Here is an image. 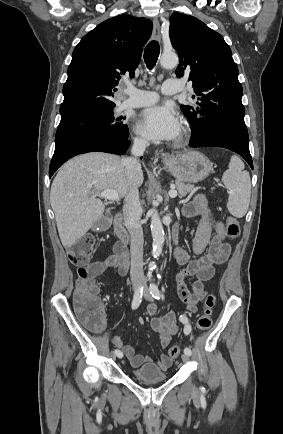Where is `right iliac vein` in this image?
<instances>
[{
  "label": "right iliac vein",
  "instance_id": "obj_1",
  "mask_svg": "<svg viewBox=\"0 0 283 434\" xmlns=\"http://www.w3.org/2000/svg\"><path fill=\"white\" fill-rule=\"evenodd\" d=\"M138 287H139V282H137V281L133 282V289H134V290H137ZM111 358H112L113 360L116 359V354H115L114 352L111 353Z\"/></svg>",
  "mask_w": 283,
  "mask_h": 434
}]
</instances>
